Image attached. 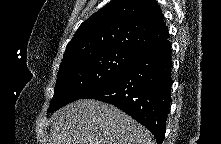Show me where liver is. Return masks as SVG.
<instances>
[{
  "mask_svg": "<svg viewBox=\"0 0 221 144\" xmlns=\"http://www.w3.org/2000/svg\"><path fill=\"white\" fill-rule=\"evenodd\" d=\"M49 144H154L150 132L113 105L78 100L51 116Z\"/></svg>",
  "mask_w": 221,
  "mask_h": 144,
  "instance_id": "1",
  "label": "liver"
}]
</instances>
